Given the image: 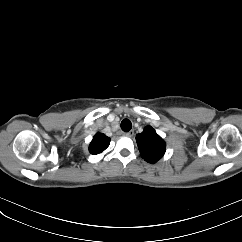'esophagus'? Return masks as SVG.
Listing matches in <instances>:
<instances>
[{"label":"esophagus","mask_w":242,"mask_h":242,"mask_svg":"<svg viewBox=\"0 0 242 242\" xmlns=\"http://www.w3.org/2000/svg\"><path fill=\"white\" fill-rule=\"evenodd\" d=\"M126 136L132 137L134 135V130H130L129 132L125 133Z\"/></svg>","instance_id":"obj_1"}]
</instances>
